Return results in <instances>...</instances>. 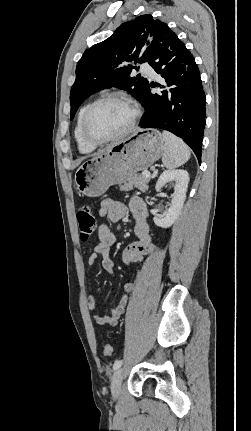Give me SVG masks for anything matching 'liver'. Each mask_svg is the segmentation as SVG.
I'll list each match as a JSON object with an SVG mask.
<instances>
[{
  "label": "liver",
  "instance_id": "1",
  "mask_svg": "<svg viewBox=\"0 0 251 431\" xmlns=\"http://www.w3.org/2000/svg\"><path fill=\"white\" fill-rule=\"evenodd\" d=\"M110 147H111V146H110ZM110 147H108V148H106V149H104V150L100 151L97 155H100V154L104 153V152H105V151H107Z\"/></svg>",
  "mask_w": 251,
  "mask_h": 431
}]
</instances>
